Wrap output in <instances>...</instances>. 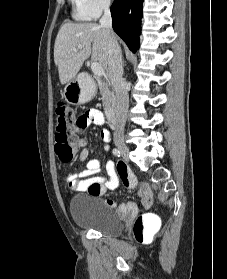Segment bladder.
<instances>
[{"instance_id": "bladder-1", "label": "bladder", "mask_w": 227, "mask_h": 279, "mask_svg": "<svg viewBox=\"0 0 227 279\" xmlns=\"http://www.w3.org/2000/svg\"><path fill=\"white\" fill-rule=\"evenodd\" d=\"M99 194L75 196L70 205V215L75 224L98 231L104 235L117 237L122 234L123 221L114 209L106 205Z\"/></svg>"}]
</instances>
